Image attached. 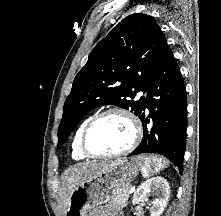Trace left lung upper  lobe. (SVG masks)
<instances>
[{
	"label": "left lung upper lobe",
	"mask_w": 221,
	"mask_h": 216,
	"mask_svg": "<svg viewBox=\"0 0 221 216\" xmlns=\"http://www.w3.org/2000/svg\"><path fill=\"white\" fill-rule=\"evenodd\" d=\"M167 46L152 16L135 13L116 25L91 51L74 79L64 104L57 146L98 106L114 104L140 117L146 99L142 96L135 100L136 93L147 91L150 76Z\"/></svg>",
	"instance_id": "1"
}]
</instances>
